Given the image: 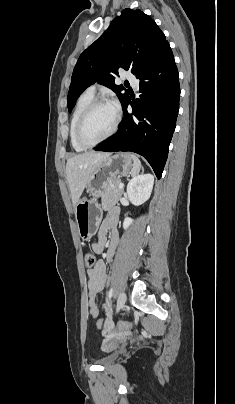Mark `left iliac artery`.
Masks as SVG:
<instances>
[{"label": "left iliac artery", "mask_w": 235, "mask_h": 404, "mask_svg": "<svg viewBox=\"0 0 235 404\" xmlns=\"http://www.w3.org/2000/svg\"><path fill=\"white\" fill-rule=\"evenodd\" d=\"M113 295V288L111 287L109 292H108V299H107V303L109 304L111 301V297Z\"/></svg>", "instance_id": "left-iliac-artery-1"}]
</instances>
